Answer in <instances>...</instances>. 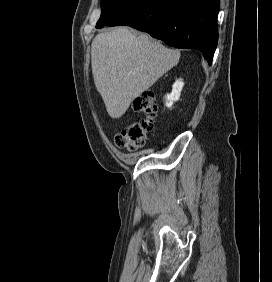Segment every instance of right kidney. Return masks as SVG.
<instances>
[{
  "instance_id": "right-kidney-1",
  "label": "right kidney",
  "mask_w": 272,
  "mask_h": 282,
  "mask_svg": "<svg viewBox=\"0 0 272 282\" xmlns=\"http://www.w3.org/2000/svg\"><path fill=\"white\" fill-rule=\"evenodd\" d=\"M183 86L184 83L182 79H178L175 81L172 86V92L165 96L167 107L171 108L173 103L179 99Z\"/></svg>"
}]
</instances>
